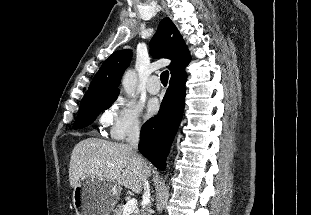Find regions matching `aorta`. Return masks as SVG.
Wrapping results in <instances>:
<instances>
[{"label": "aorta", "mask_w": 311, "mask_h": 215, "mask_svg": "<svg viewBox=\"0 0 311 215\" xmlns=\"http://www.w3.org/2000/svg\"><path fill=\"white\" fill-rule=\"evenodd\" d=\"M122 85L125 93L129 96L135 97L136 86H137V76L135 71L127 70L122 78Z\"/></svg>", "instance_id": "762f6f07"}]
</instances>
